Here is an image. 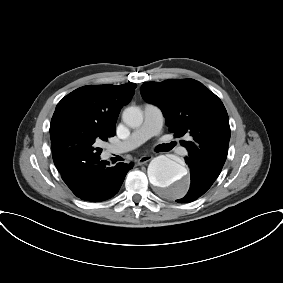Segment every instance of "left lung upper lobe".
Returning <instances> with one entry per match:
<instances>
[{
  "mask_svg": "<svg viewBox=\"0 0 283 283\" xmlns=\"http://www.w3.org/2000/svg\"><path fill=\"white\" fill-rule=\"evenodd\" d=\"M141 94L161 108L175 137L189 138L180 141L189 158L207 169L222 170L231 132L226 109L214 93L193 79H170L144 83Z\"/></svg>",
  "mask_w": 283,
  "mask_h": 283,
  "instance_id": "obj_1",
  "label": "left lung upper lobe"
}]
</instances>
